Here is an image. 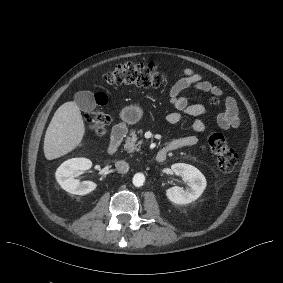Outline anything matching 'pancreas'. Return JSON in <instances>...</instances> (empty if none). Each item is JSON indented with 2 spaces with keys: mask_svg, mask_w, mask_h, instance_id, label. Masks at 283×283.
<instances>
[{
  "mask_svg": "<svg viewBox=\"0 0 283 283\" xmlns=\"http://www.w3.org/2000/svg\"><path fill=\"white\" fill-rule=\"evenodd\" d=\"M138 133L140 135H143V130L140 129L138 130ZM137 141V135L133 129L130 130V137L127 138V142L124 145V148L127 150L129 153H135L140 151L139 144L136 143Z\"/></svg>",
  "mask_w": 283,
  "mask_h": 283,
  "instance_id": "obj_1",
  "label": "pancreas"
}]
</instances>
